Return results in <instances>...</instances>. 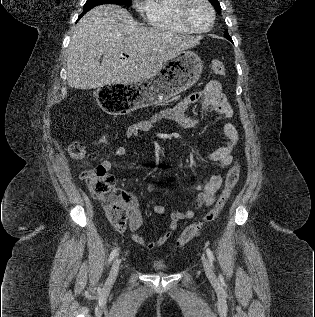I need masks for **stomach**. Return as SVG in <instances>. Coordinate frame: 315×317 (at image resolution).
<instances>
[{"label":"stomach","mask_w":315,"mask_h":317,"mask_svg":"<svg viewBox=\"0 0 315 317\" xmlns=\"http://www.w3.org/2000/svg\"><path fill=\"white\" fill-rule=\"evenodd\" d=\"M203 70L200 57L182 51L163 64L153 77L134 84H103L99 103L110 114H131L133 110L162 103L194 85Z\"/></svg>","instance_id":"1"}]
</instances>
